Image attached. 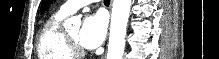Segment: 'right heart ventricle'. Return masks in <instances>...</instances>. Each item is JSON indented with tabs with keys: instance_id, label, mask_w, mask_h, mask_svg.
<instances>
[{
	"instance_id": "right-heart-ventricle-1",
	"label": "right heart ventricle",
	"mask_w": 219,
	"mask_h": 59,
	"mask_svg": "<svg viewBox=\"0 0 219 59\" xmlns=\"http://www.w3.org/2000/svg\"><path fill=\"white\" fill-rule=\"evenodd\" d=\"M67 15L56 12L42 27L37 41L39 59H73L74 55L67 45L62 21Z\"/></svg>"
}]
</instances>
